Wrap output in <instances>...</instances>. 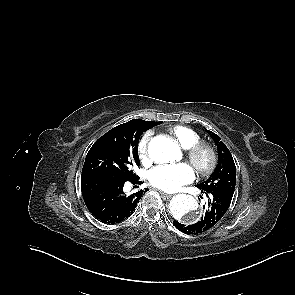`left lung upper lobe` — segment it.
<instances>
[{"label": "left lung upper lobe", "instance_id": "left-lung-upper-lobe-1", "mask_svg": "<svg viewBox=\"0 0 295 295\" xmlns=\"http://www.w3.org/2000/svg\"><path fill=\"white\" fill-rule=\"evenodd\" d=\"M217 145L218 164L209 179L198 184L197 187L204 191H225L233 194L236 184V167L232 155L220 137L208 131Z\"/></svg>", "mask_w": 295, "mask_h": 295}]
</instances>
